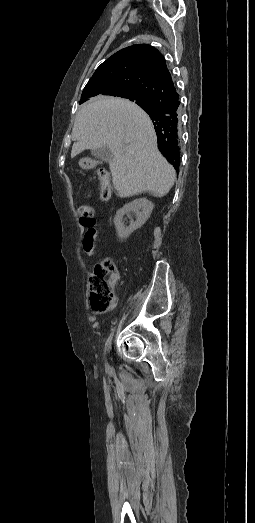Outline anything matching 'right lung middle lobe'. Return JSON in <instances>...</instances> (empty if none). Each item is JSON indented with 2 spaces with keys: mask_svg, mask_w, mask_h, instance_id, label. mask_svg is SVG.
I'll use <instances>...</instances> for the list:
<instances>
[{
  "mask_svg": "<svg viewBox=\"0 0 255 523\" xmlns=\"http://www.w3.org/2000/svg\"><path fill=\"white\" fill-rule=\"evenodd\" d=\"M115 96L121 98H127L131 101L140 102V105L143 108H150L153 105V98L148 95L146 92L140 90H125Z\"/></svg>",
  "mask_w": 255,
  "mask_h": 523,
  "instance_id": "obj_1",
  "label": "right lung middle lobe"
}]
</instances>
